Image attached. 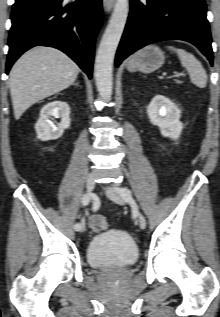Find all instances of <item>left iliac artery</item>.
Instances as JSON below:
<instances>
[{"label": "left iliac artery", "instance_id": "obj_1", "mask_svg": "<svg viewBox=\"0 0 220 317\" xmlns=\"http://www.w3.org/2000/svg\"><path fill=\"white\" fill-rule=\"evenodd\" d=\"M121 196L125 199L128 200L129 197L131 196V191L127 188H120Z\"/></svg>", "mask_w": 220, "mask_h": 317}]
</instances>
